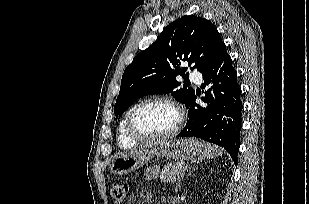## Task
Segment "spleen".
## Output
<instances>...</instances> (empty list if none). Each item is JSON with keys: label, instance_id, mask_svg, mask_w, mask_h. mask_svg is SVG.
Instances as JSON below:
<instances>
[{"label": "spleen", "instance_id": "1", "mask_svg": "<svg viewBox=\"0 0 309 204\" xmlns=\"http://www.w3.org/2000/svg\"><path fill=\"white\" fill-rule=\"evenodd\" d=\"M201 145L203 148L204 158L213 159L215 157L222 156V149H220L219 147L205 142H203Z\"/></svg>", "mask_w": 309, "mask_h": 204}]
</instances>
